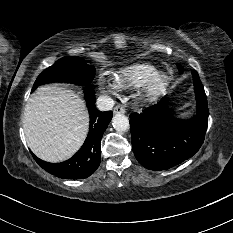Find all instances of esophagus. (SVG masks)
<instances>
[{
    "label": "esophagus",
    "mask_w": 233,
    "mask_h": 233,
    "mask_svg": "<svg viewBox=\"0 0 233 233\" xmlns=\"http://www.w3.org/2000/svg\"><path fill=\"white\" fill-rule=\"evenodd\" d=\"M113 112H114L115 114H117V113H125V108H124L123 105L118 104V105L114 108Z\"/></svg>",
    "instance_id": "obj_1"
}]
</instances>
